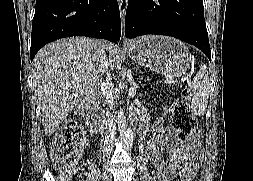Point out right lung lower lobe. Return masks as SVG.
Returning <instances> with one entry per match:
<instances>
[{
    "label": "right lung lower lobe",
    "instance_id": "98d812e1",
    "mask_svg": "<svg viewBox=\"0 0 253 181\" xmlns=\"http://www.w3.org/2000/svg\"><path fill=\"white\" fill-rule=\"evenodd\" d=\"M70 36L119 41L121 21L117 0H36L31 60L45 44Z\"/></svg>",
    "mask_w": 253,
    "mask_h": 181
}]
</instances>
